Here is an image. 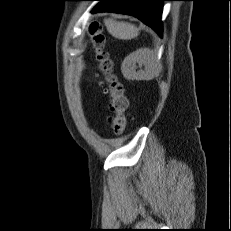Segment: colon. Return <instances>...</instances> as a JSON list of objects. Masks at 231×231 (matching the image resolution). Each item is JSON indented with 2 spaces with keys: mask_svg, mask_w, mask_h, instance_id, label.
<instances>
[{
  "mask_svg": "<svg viewBox=\"0 0 231 231\" xmlns=\"http://www.w3.org/2000/svg\"><path fill=\"white\" fill-rule=\"evenodd\" d=\"M91 34L97 47L99 71L106 76L105 92L110 97L109 108L112 112L110 126L115 134H121L129 122L131 99L125 93L123 85L112 75V62L103 50L104 36L98 32L96 23L91 25Z\"/></svg>",
  "mask_w": 231,
  "mask_h": 231,
  "instance_id": "1",
  "label": "colon"
}]
</instances>
